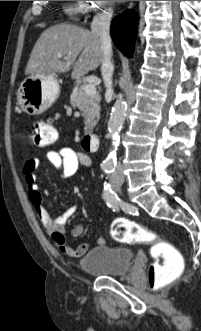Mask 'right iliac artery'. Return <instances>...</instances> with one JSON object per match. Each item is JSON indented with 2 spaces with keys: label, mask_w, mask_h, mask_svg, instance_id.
I'll use <instances>...</instances> for the list:
<instances>
[{
  "label": "right iliac artery",
  "mask_w": 201,
  "mask_h": 331,
  "mask_svg": "<svg viewBox=\"0 0 201 331\" xmlns=\"http://www.w3.org/2000/svg\"><path fill=\"white\" fill-rule=\"evenodd\" d=\"M114 171L112 167H107L105 169V172L107 175L111 174ZM103 199L107 203V205L113 209V211L118 210V205H119V199L114 193V191L111 189L110 184L105 183L104 186V191H103Z\"/></svg>",
  "instance_id": "obj_1"
}]
</instances>
